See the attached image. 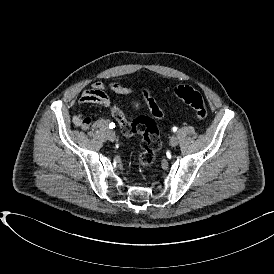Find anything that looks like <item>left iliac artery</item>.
I'll return each instance as SVG.
<instances>
[{"mask_svg":"<svg viewBox=\"0 0 274 274\" xmlns=\"http://www.w3.org/2000/svg\"><path fill=\"white\" fill-rule=\"evenodd\" d=\"M172 130H173V132H176L177 131V127H173Z\"/></svg>","mask_w":274,"mask_h":274,"instance_id":"obj_1","label":"left iliac artery"}]
</instances>
